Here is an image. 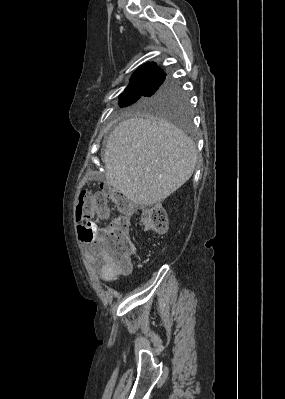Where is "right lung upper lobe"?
Instances as JSON below:
<instances>
[{"instance_id":"1","label":"right lung upper lobe","mask_w":285,"mask_h":399,"mask_svg":"<svg viewBox=\"0 0 285 399\" xmlns=\"http://www.w3.org/2000/svg\"><path fill=\"white\" fill-rule=\"evenodd\" d=\"M165 76L166 74L159 70L156 64L146 63L133 74L131 83L122 94L137 93L161 87L164 84Z\"/></svg>"}]
</instances>
